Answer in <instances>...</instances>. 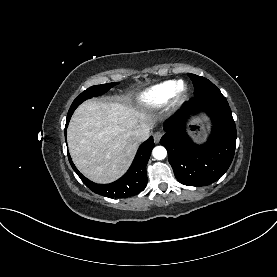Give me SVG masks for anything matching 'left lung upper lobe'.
Returning <instances> with one entry per match:
<instances>
[{
    "mask_svg": "<svg viewBox=\"0 0 277 277\" xmlns=\"http://www.w3.org/2000/svg\"><path fill=\"white\" fill-rule=\"evenodd\" d=\"M194 85V96H199L209 92H219L220 90L208 79L188 73Z\"/></svg>",
    "mask_w": 277,
    "mask_h": 277,
    "instance_id": "1",
    "label": "left lung upper lobe"
}]
</instances>
